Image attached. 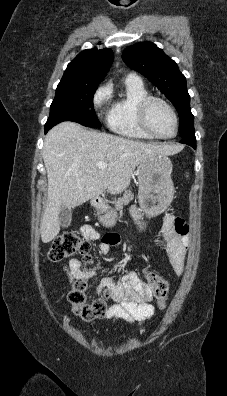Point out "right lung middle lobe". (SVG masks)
<instances>
[{
	"label": "right lung middle lobe",
	"mask_w": 227,
	"mask_h": 396,
	"mask_svg": "<svg viewBox=\"0 0 227 396\" xmlns=\"http://www.w3.org/2000/svg\"><path fill=\"white\" fill-rule=\"evenodd\" d=\"M98 84L61 80L46 125L74 121L87 127L100 128L101 124L93 107V96Z\"/></svg>",
	"instance_id": "right-lung-middle-lobe-1"
}]
</instances>
